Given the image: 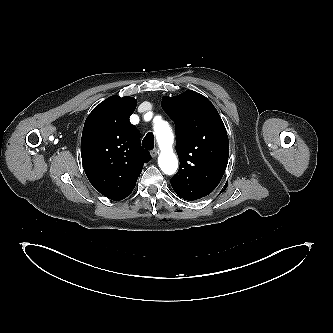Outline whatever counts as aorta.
<instances>
[{
    "mask_svg": "<svg viewBox=\"0 0 333 333\" xmlns=\"http://www.w3.org/2000/svg\"><path fill=\"white\" fill-rule=\"evenodd\" d=\"M154 131L161 149L158 157L159 167L165 174L172 175L177 170L178 160L172 149L174 136L171 127L166 121L161 120L155 124Z\"/></svg>",
    "mask_w": 333,
    "mask_h": 333,
    "instance_id": "obj_1",
    "label": "aorta"
}]
</instances>
